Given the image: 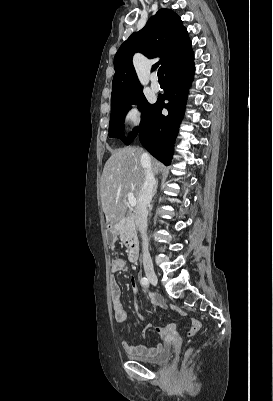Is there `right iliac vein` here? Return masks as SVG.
<instances>
[{"mask_svg":"<svg viewBox=\"0 0 273 401\" xmlns=\"http://www.w3.org/2000/svg\"><path fill=\"white\" fill-rule=\"evenodd\" d=\"M144 270H145V273H146V276H147L148 280L153 285H156L157 282H158V279H157L156 273L154 271V268L152 266H150V265H147V266H145Z\"/></svg>","mask_w":273,"mask_h":401,"instance_id":"right-iliac-vein-1","label":"right iliac vein"}]
</instances>
